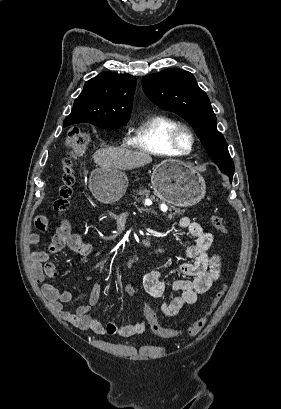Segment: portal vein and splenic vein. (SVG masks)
Listing matches in <instances>:
<instances>
[{"label":"portal vein and splenic vein","instance_id":"portal-vein-and-splenic-vein-1","mask_svg":"<svg viewBox=\"0 0 281 409\" xmlns=\"http://www.w3.org/2000/svg\"><path fill=\"white\" fill-rule=\"evenodd\" d=\"M165 201V200H164ZM165 203H166V201H165ZM146 210H148V209H146L145 207H143V206H139L138 208H137V211L139 212V213H143V212H145ZM148 214H151V213H148ZM154 214H159V213H154Z\"/></svg>","mask_w":281,"mask_h":409}]
</instances>
